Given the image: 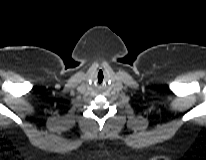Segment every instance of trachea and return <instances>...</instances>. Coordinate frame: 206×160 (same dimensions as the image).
I'll list each match as a JSON object with an SVG mask.
<instances>
[{
	"mask_svg": "<svg viewBox=\"0 0 206 160\" xmlns=\"http://www.w3.org/2000/svg\"><path fill=\"white\" fill-rule=\"evenodd\" d=\"M103 79H104V74L102 71H99L97 78H96V80L98 81V84H101L103 82Z\"/></svg>",
	"mask_w": 206,
	"mask_h": 160,
	"instance_id": "3493384b",
	"label": "trachea"
}]
</instances>
